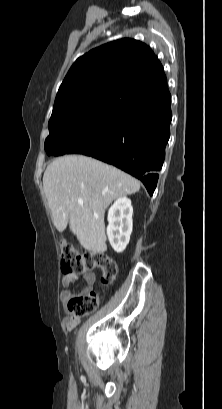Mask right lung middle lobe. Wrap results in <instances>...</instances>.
Instances as JSON below:
<instances>
[{"label":"right lung middle lobe","mask_w":222,"mask_h":409,"mask_svg":"<svg viewBox=\"0 0 222 409\" xmlns=\"http://www.w3.org/2000/svg\"><path fill=\"white\" fill-rule=\"evenodd\" d=\"M120 104L102 102L75 105L52 112L49 136L45 140L48 155L92 153L100 147L110 130Z\"/></svg>","instance_id":"dd1d6c3e"}]
</instances>
